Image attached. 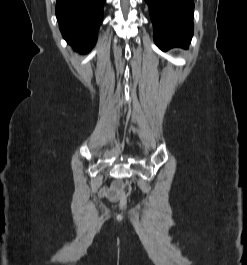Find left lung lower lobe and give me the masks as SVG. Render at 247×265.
<instances>
[{"label": "left lung lower lobe", "instance_id": "0a47b994", "mask_svg": "<svg viewBox=\"0 0 247 265\" xmlns=\"http://www.w3.org/2000/svg\"><path fill=\"white\" fill-rule=\"evenodd\" d=\"M154 26V41L162 50L188 47L193 36V0H145Z\"/></svg>", "mask_w": 247, "mask_h": 265}]
</instances>
